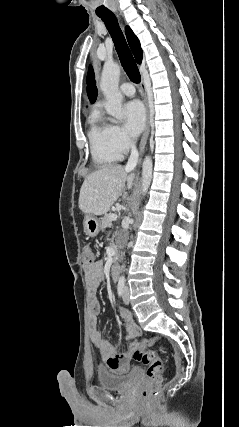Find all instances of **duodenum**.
Wrapping results in <instances>:
<instances>
[{
  "instance_id": "1",
  "label": "duodenum",
  "mask_w": 239,
  "mask_h": 427,
  "mask_svg": "<svg viewBox=\"0 0 239 427\" xmlns=\"http://www.w3.org/2000/svg\"><path fill=\"white\" fill-rule=\"evenodd\" d=\"M120 274V265L117 258L113 259L112 265H111V275L114 280H116L119 277Z\"/></svg>"
}]
</instances>
